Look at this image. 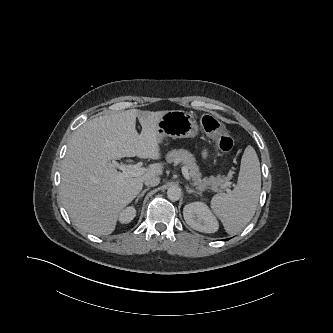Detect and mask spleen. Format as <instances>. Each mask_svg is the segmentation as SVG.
I'll use <instances>...</instances> for the list:
<instances>
[{
	"mask_svg": "<svg viewBox=\"0 0 333 333\" xmlns=\"http://www.w3.org/2000/svg\"><path fill=\"white\" fill-rule=\"evenodd\" d=\"M261 191V172L258 156L248 146L241 159L238 182L233 191L218 193L211 199V208L228 234L243 230L255 214Z\"/></svg>",
	"mask_w": 333,
	"mask_h": 333,
	"instance_id": "spleen-1",
	"label": "spleen"
}]
</instances>
